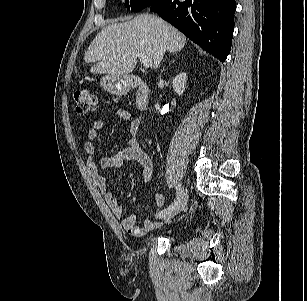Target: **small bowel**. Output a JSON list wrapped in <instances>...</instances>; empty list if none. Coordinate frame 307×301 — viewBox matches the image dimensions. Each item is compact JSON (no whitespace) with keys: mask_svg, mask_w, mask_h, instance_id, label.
<instances>
[{"mask_svg":"<svg viewBox=\"0 0 307 301\" xmlns=\"http://www.w3.org/2000/svg\"><path fill=\"white\" fill-rule=\"evenodd\" d=\"M116 115L127 122L130 139L128 146L119 151L118 153L105 157L100 162V167L96 162V148L94 141L98 138L99 134L106 129V122L104 120H96L93 126L87 132V140L83 144L85 153L87 154L86 168L90 174L94 184L97 186L101 194L110 208L113 215L120 220L121 225L125 231L134 237H142L147 232L155 229L159 223L145 219L141 226L137 225V214L131 213L127 216L124 215L123 206L118 202L114 193L108 189L106 179L101 175L100 169H114L123 165L125 160H135L142 166V175L145 181L149 180L153 174V162L151 157L142 149L138 140V133L141 127V118L135 116L131 111L118 108L115 111ZM137 197H133V202ZM153 202L157 206H164L167 199L162 194L153 196Z\"/></svg>","mask_w":307,"mask_h":301,"instance_id":"1","label":"small bowel"}]
</instances>
